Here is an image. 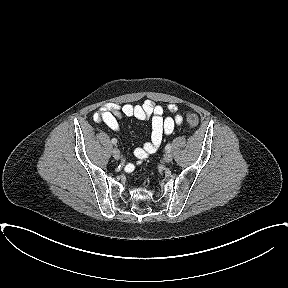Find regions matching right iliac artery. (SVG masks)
<instances>
[{
    "mask_svg": "<svg viewBox=\"0 0 288 288\" xmlns=\"http://www.w3.org/2000/svg\"><path fill=\"white\" fill-rule=\"evenodd\" d=\"M111 142L115 145L117 143V139L113 138Z\"/></svg>",
    "mask_w": 288,
    "mask_h": 288,
    "instance_id": "1",
    "label": "right iliac artery"
}]
</instances>
